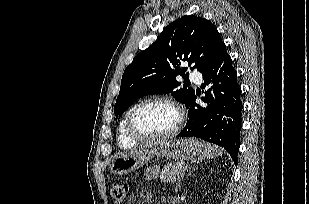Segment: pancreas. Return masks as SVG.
Returning <instances> with one entry per match:
<instances>
[{"label":"pancreas","instance_id":"1","mask_svg":"<svg viewBox=\"0 0 309 204\" xmlns=\"http://www.w3.org/2000/svg\"><path fill=\"white\" fill-rule=\"evenodd\" d=\"M187 164L178 163L176 165H170L162 170L160 179L163 182H173L183 176L184 171L187 170Z\"/></svg>","mask_w":309,"mask_h":204}]
</instances>
